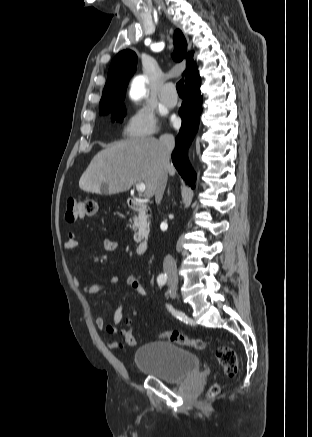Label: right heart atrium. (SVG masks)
<instances>
[{
    "instance_id": "obj_1",
    "label": "right heart atrium",
    "mask_w": 312,
    "mask_h": 437,
    "mask_svg": "<svg viewBox=\"0 0 312 437\" xmlns=\"http://www.w3.org/2000/svg\"><path fill=\"white\" fill-rule=\"evenodd\" d=\"M157 128V120L154 115L141 109L126 118L122 134L127 138H146L156 133Z\"/></svg>"
}]
</instances>
